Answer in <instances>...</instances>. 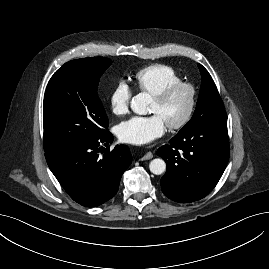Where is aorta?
Segmentation results:
<instances>
[{
	"label": "aorta",
	"instance_id": "obj_1",
	"mask_svg": "<svg viewBox=\"0 0 269 269\" xmlns=\"http://www.w3.org/2000/svg\"><path fill=\"white\" fill-rule=\"evenodd\" d=\"M151 102V96L147 93H139L131 100V109L138 115H146L148 113V105ZM150 171L155 175H160L166 170V163L160 158L153 159L149 164Z\"/></svg>",
	"mask_w": 269,
	"mask_h": 269
}]
</instances>
